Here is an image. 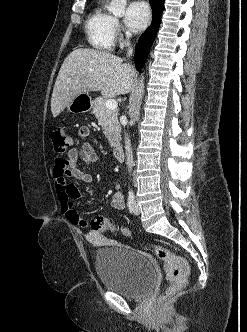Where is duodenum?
I'll return each instance as SVG.
<instances>
[{"instance_id":"1","label":"duodenum","mask_w":247,"mask_h":332,"mask_svg":"<svg viewBox=\"0 0 247 332\" xmlns=\"http://www.w3.org/2000/svg\"><path fill=\"white\" fill-rule=\"evenodd\" d=\"M114 155L118 160H123L124 159V150L121 146H116L114 148Z\"/></svg>"}]
</instances>
